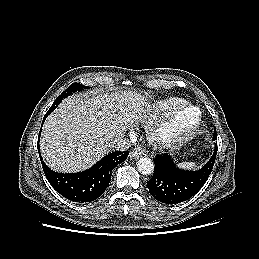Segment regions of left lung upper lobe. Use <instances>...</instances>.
I'll return each mask as SVG.
<instances>
[{"mask_svg": "<svg viewBox=\"0 0 259 259\" xmlns=\"http://www.w3.org/2000/svg\"><path fill=\"white\" fill-rule=\"evenodd\" d=\"M215 137H217L216 129L214 130L213 140L215 139Z\"/></svg>", "mask_w": 259, "mask_h": 259, "instance_id": "1", "label": "left lung upper lobe"}]
</instances>
